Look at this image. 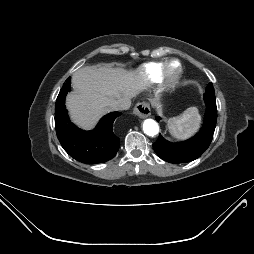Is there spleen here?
Wrapping results in <instances>:
<instances>
[{"instance_id":"obj_1","label":"spleen","mask_w":254,"mask_h":254,"mask_svg":"<svg viewBox=\"0 0 254 254\" xmlns=\"http://www.w3.org/2000/svg\"><path fill=\"white\" fill-rule=\"evenodd\" d=\"M201 116L196 107L187 108L182 114L167 120L170 134L178 140H186L199 128Z\"/></svg>"}]
</instances>
